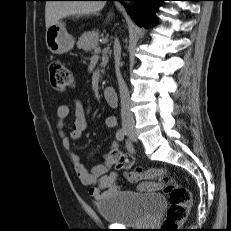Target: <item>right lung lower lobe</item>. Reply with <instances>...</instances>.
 I'll return each mask as SVG.
<instances>
[{"label":"right lung lower lobe","mask_w":231,"mask_h":231,"mask_svg":"<svg viewBox=\"0 0 231 231\" xmlns=\"http://www.w3.org/2000/svg\"><path fill=\"white\" fill-rule=\"evenodd\" d=\"M111 1V0H106ZM117 1H137V4L131 9H127L128 14L140 26L147 27L151 22L155 11V5L163 0H117Z\"/></svg>","instance_id":"1"}]
</instances>
